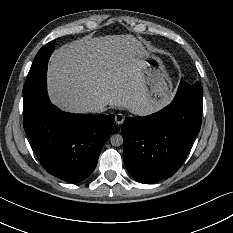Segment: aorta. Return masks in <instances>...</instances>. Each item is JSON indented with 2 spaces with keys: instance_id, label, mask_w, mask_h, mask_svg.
Wrapping results in <instances>:
<instances>
[{
  "instance_id": "obj_1",
  "label": "aorta",
  "mask_w": 233,
  "mask_h": 233,
  "mask_svg": "<svg viewBox=\"0 0 233 233\" xmlns=\"http://www.w3.org/2000/svg\"><path fill=\"white\" fill-rule=\"evenodd\" d=\"M110 142L115 147L121 146L123 144V137L119 134H114L111 136Z\"/></svg>"
}]
</instances>
